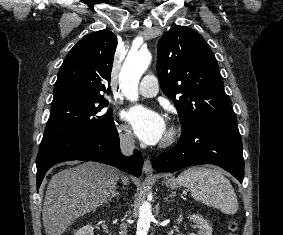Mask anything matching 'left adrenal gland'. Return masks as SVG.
Segmentation results:
<instances>
[{
    "mask_svg": "<svg viewBox=\"0 0 283 235\" xmlns=\"http://www.w3.org/2000/svg\"><path fill=\"white\" fill-rule=\"evenodd\" d=\"M176 196V192H171L167 197L166 200L170 197H175Z\"/></svg>",
    "mask_w": 283,
    "mask_h": 235,
    "instance_id": "1",
    "label": "left adrenal gland"
}]
</instances>
